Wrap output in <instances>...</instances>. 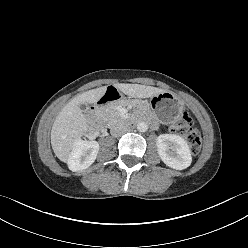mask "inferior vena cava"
Masks as SVG:
<instances>
[{"label":"inferior vena cava","instance_id":"1","mask_svg":"<svg viewBox=\"0 0 248 248\" xmlns=\"http://www.w3.org/2000/svg\"><path fill=\"white\" fill-rule=\"evenodd\" d=\"M127 129V126L123 122H118L111 126L110 132L113 136H120L124 134Z\"/></svg>","mask_w":248,"mask_h":248}]
</instances>
